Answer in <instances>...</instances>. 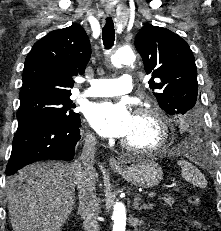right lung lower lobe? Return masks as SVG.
I'll return each instance as SVG.
<instances>
[{"label":"right lung lower lobe","mask_w":221,"mask_h":231,"mask_svg":"<svg viewBox=\"0 0 221 231\" xmlns=\"http://www.w3.org/2000/svg\"><path fill=\"white\" fill-rule=\"evenodd\" d=\"M80 124V117L67 120L52 115L33 116L19 122L6 175L36 161L72 160L81 138Z\"/></svg>","instance_id":"obj_1"}]
</instances>
